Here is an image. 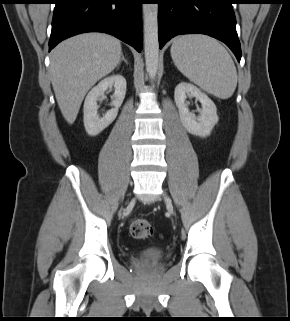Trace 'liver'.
<instances>
[{"mask_svg": "<svg viewBox=\"0 0 290 321\" xmlns=\"http://www.w3.org/2000/svg\"><path fill=\"white\" fill-rule=\"evenodd\" d=\"M121 55L118 39L97 32L76 35L52 50V87L61 113L69 124L76 120L89 89L115 69Z\"/></svg>", "mask_w": 290, "mask_h": 321, "instance_id": "liver-1", "label": "liver"}]
</instances>
